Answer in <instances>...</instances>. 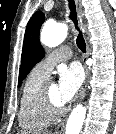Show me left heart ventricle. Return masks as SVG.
I'll use <instances>...</instances> for the list:
<instances>
[{
  "label": "left heart ventricle",
  "instance_id": "b2bd125f",
  "mask_svg": "<svg viewBox=\"0 0 116 134\" xmlns=\"http://www.w3.org/2000/svg\"><path fill=\"white\" fill-rule=\"evenodd\" d=\"M48 90H49V95H50L51 99L55 103L61 104L60 100H59L58 85L55 84V83L50 82Z\"/></svg>",
  "mask_w": 116,
  "mask_h": 134
}]
</instances>
